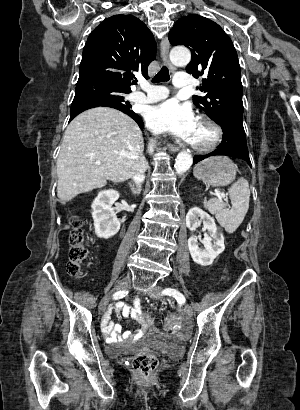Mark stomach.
Wrapping results in <instances>:
<instances>
[{
    "label": "stomach",
    "instance_id": "obj_1",
    "mask_svg": "<svg viewBox=\"0 0 300 410\" xmlns=\"http://www.w3.org/2000/svg\"><path fill=\"white\" fill-rule=\"evenodd\" d=\"M194 175L209 185L225 186L235 179L236 167L229 158L216 156L197 164Z\"/></svg>",
    "mask_w": 300,
    "mask_h": 410
}]
</instances>
